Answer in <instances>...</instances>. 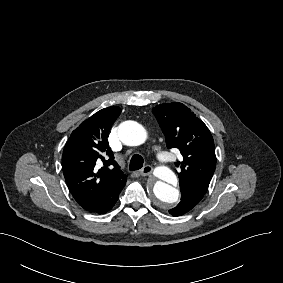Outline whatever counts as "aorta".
Instances as JSON below:
<instances>
[{"label":"aorta","mask_w":283,"mask_h":283,"mask_svg":"<svg viewBox=\"0 0 283 283\" xmlns=\"http://www.w3.org/2000/svg\"><path fill=\"white\" fill-rule=\"evenodd\" d=\"M118 136L122 143L128 146H138L145 142L147 132L145 128L135 121H125L119 125ZM158 178L152 191L161 207L175 204L179 199V190L173 185L177 183L176 175L171 169L160 166L155 170Z\"/></svg>","instance_id":"1"}]
</instances>
